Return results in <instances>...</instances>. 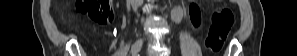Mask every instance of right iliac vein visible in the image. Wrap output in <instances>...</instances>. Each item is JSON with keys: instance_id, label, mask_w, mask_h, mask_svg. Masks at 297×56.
Instances as JSON below:
<instances>
[{"instance_id": "63e3f726", "label": "right iliac vein", "mask_w": 297, "mask_h": 56, "mask_svg": "<svg viewBox=\"0 0 297 56\" xmlns=\"http://www.w3.org/2000/svg\"><path fill=\"white\" fill-rule=\"evenodd\" d=\"M142 45H143L142 39H138L133 43L132 48H131V53L133 56H136L139 53V51L142 48Z\"/></svg>"}]
</instances>
